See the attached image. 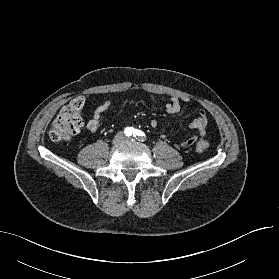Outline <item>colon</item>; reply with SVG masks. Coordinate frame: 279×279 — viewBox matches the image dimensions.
Masks as SVG:
<instances>
[{
	"mask_svg": "<svg viewBox=\"0 0 279 279\" xmlns=\"http://www.w3.org/2000/svg\"><path fill=\"white\" fill-rule=\"evenodd\" d=\"M84 100L75 98L65 106L57 115L52 123L49 132L51 140L55 142L67 141L79 133L83 125L82 108ZM210 149V143L204 138L196 141V150L200 153Z\"/></svg>",
	"mask_w": 279,
	"mask_h": 279,
	"instance_id": "obj_1",
	"label": "colon"
}]
</instances>
